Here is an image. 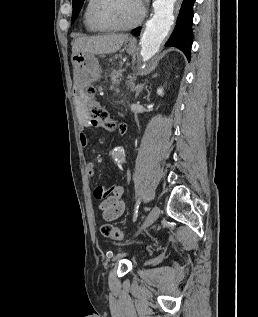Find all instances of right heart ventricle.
Wrapping results in <instances>:
<instances>
[{
  "mask_svg": "<svg viewBox=\"0 0 258 317\" xmlns=\"http://www.w3.org/2000/svg\"><path fill=\"white\" fill-rule=\"evenodd\" d=\"M95 0H88L85 4V9H84V24L86 29L91 32V33H100L104 32L105 30L97 27L91 20L90 18V10L91 6L94 3Z\"/></svg>",
  "mask_w": 258,
  "mask_h": 317,
  "instance_id": "e07e8e85",
  "label": "right heart ventricle"
}]
</instances>
